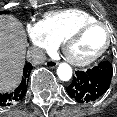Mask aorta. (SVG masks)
I'll use <instances>...</instances> for the list:
<instances>
[{"mask_svg":"<svg viewBox=\"0 0 117 117\" xmlns=\"http://www.w3.org/2000/svg\"><path fill=\"white\" fill-rule=\"evenodd\" d=\"M57 75L62 81H69L72 77V68L67 63H61L57 68Z\"/></svg>","mask_w":117,"mask_h":117,"instance_id":"1","label":"aorta"}]
</instances>
